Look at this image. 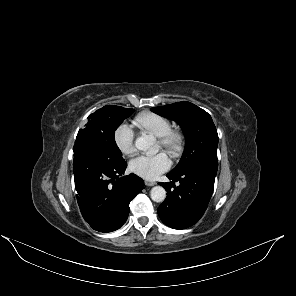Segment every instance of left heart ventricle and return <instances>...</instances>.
<instances>
[{"label":"left heart ventricle","mask_w":296,"mask_h":296,"mask_svg":"<svg viewBox=\"0 0 296 296\" xmlns=\"http://www.w3.org/2000/svg\"><path fill=\"white\" fill-rule=\"evenodd\" d=\"M158 148H160V144H158Z\"/></svg>","instance_id":"obj_1"}]
</instances>
